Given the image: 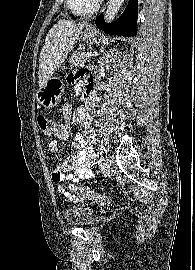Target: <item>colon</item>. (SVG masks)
Returning a JSON list of instances; mask_svg holds the SVG:
<instances>
[{
	"label": "colon",
	"mask_w": 195,
	"mask_h": 270,
	"mask_svg": "<svg viewBox=\"0 0 195 270\" xmlns=\"http://www.w3.org/2000/svg\"><path fill=\"white\" fill-rule=\"evenodd\" d=\"M37 123L45 134H51L56 126L55 121L46 116H39L37 118ZM78 193L83 197H87L103 205H110L112 203V200L109 197L99 195L96 192L89 190L88 188H78Z\"/></svg>",
	"instance_id": "colon-1"
}]
</instances>
